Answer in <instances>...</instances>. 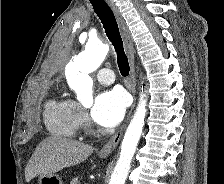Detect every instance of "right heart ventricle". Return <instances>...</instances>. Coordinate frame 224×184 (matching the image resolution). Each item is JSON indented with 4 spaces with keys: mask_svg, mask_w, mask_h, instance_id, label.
<instances>
[{
    "mask_svg": "<svg viewBox=\"0 0 224 184\" xmlns=\"http://www.w3.org/2000/svg\"><path fill=\"white\" fill-rule=\"evenodd\" d=\"M45 123L53 135L73 137L79 128L76 103L63 97L50 100L46 105Z\"/></svg>",
    "mask_w": 224,
    "mask_h": 184,
    "instance_id": "1",
    "label": "right heart ventricle"
}]
</instances>
